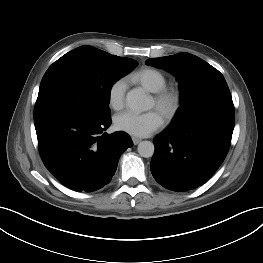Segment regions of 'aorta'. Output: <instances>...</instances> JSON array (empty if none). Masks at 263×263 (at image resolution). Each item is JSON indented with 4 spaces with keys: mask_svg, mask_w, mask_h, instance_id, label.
<instances>
[{
    "mask_svg": "<svg viewBox=\"0 0 263 263\" xmlns=\"http://www.w3.org/2000/svg\"><path fill=\"white\" fill-rule=\"evenodd\" d=\"M127 106L136 112H143L149 108V99L140 89L130 90L126 95ZM138 153L144 158L152 157L155 151L154 144L151 141H142L138 144Z\"/></svg>",
    "mask_w": 263,
    "mask_h": 263,
    "instance_id": "obj_1",
    "label": "aorta"
}]
</instances>
